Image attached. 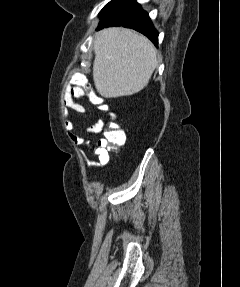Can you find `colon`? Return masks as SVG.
Instances as JSON below:
<instances>
[{
  "label": "colon",
  "mask_w": 240,
  "mask_h": 287,
  "mask_svg": "<svg viewBox=\"0 0 240 287\" xmlns=\"http://www.w3.org/2000/svg\"><path fill=\"white\" fill-rule=\"evenodd\" d=\"M93 100L95 103L100 105V108L103 110H108L107 104L103 103V99L99 96L93 95ZM115 118L114 114H111ZM105 141L107 145H110L112 148L121 146L126 141V134L124 130L115 122H111L107 129L104 132Z\"/></svg>",
  "instance_id": "colon-1"
}]
</instances>
